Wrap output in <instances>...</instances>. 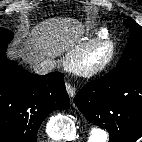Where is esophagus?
<instances>
[{"mask_svg": "<svg viewBox=\"0 0 142 142\" xmlns=\"http://www.w3.org/2000/svg\"><path fill=\"white\" fill-rule=\"evenodd\" d=\"M66 91L69 94L70 97H74L75 96V88L70 84V83H66Z\"/></svg>", "mask_w": 142, "mask_h": 142, "instance_id": "34e87169", "label": "esophagus"}]
</instances>
